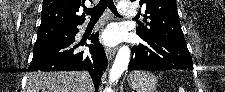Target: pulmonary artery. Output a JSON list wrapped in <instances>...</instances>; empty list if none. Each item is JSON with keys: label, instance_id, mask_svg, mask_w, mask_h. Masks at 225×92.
<instances>
[{"label": "pulmonary artery", "instance_id": "pulmonary-artery-1", "mask_svg": "<svg viewBox=\"0 0 225 92\" xmlns=\"http://www.w3.org/2000/svg\"><path fill=\"white\" fill-rule=\"evenodd\" d=\"M128 6H130V3H126V2H121L120 3V8L122 9V14L126 18H133L136 15V11L128 10L127 9Z\"/></svg>", "mask_w": 225, "mask_h": 92}]
</instances>
